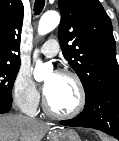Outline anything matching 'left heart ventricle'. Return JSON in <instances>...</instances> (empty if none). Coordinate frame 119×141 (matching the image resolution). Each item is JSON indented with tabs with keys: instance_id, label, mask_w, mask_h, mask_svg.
<instances>
[{
	"instance_id": "obj_1",
	"label": "left heart ventricle",
	"mask_w": 119,
	"mask_h": 141,
	"mask_svg": "<svg viewBox=\"0 0 119 141\" xmlns=\"http://www.w3.org/2000/svg\"><path fill=\"white\" fill-rule=\"evenodd\" d=\"M48 87L45 96L49 105L58 112H70L78 104L79 93L73 79L58 74H49L45 79Z\"/></svg>"
}]
</instances>
